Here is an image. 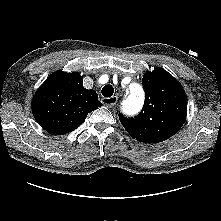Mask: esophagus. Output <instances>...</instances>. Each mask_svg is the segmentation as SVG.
Wrapping results in <instances>:
<instances>
[{
    "label": "esophagus",
    "mask_w": 221,
    "mask_h": 221,
    "mask_svg": "<svg viewBox=\"0 0 221 221\" xmlns=\"http://www.w3.org/2000/svg\"><path fill=\"white\" fill-rule=\"evenodd\" d=\"M117 100H118V98L116 96L103 97L101 99V102L107 107H112L113 105L116 104Z\"/></svg>",
    "instance_id": "obj_1"
}]
</instances>
